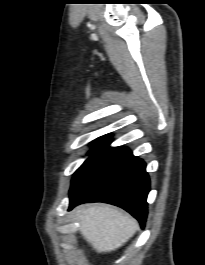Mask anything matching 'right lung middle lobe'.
Instances as JSON below:
<instances>
[{
	"instance_id": "1",
	"label": "right lung middle lobe",
	"mask_w": 205,
	"mask_h": 265,
	"mask_svg": "<svg viewBox=\"0 0 205 265\" xmlns=\"http://www.w3.org/2000/svg\"><path fill=\"white\" fill-rule=\"evenodd\" d=\"M111 135H105L99 137L91 143L93 146L91 152L89 153V158L77 169L75 172L72 182L71 189L76 186V184L82 179V177L87 173V171L95 164V162L105 153L109 148Z\"/></svg>"
}]
</instances>
